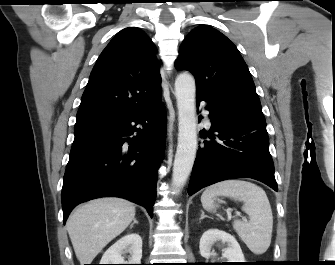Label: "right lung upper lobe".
I'll return each mask as SVG.
<instances>
[{"instance_id":"right-lung-upper-lobe-1","label":"right lung upper lobe","mask_w":335,"mask_h":265,"mask_svg":"<svg viewBox=\"0 0 335 265\" xmlns=\"http://www.w3.org/2000/svg\"><path fill=\"white\" fill-rule=\"evenodd\" d=\"M156 48L136 27L120 31L100 54L82 95L75 127L131 114L162 99Z\"/></svg>"}]
</instances>
